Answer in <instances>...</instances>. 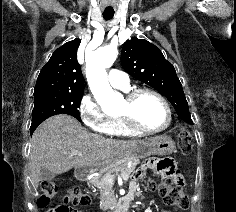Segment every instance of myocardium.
Segmentation results:
<instances>
[{"mask_svg":"<svg viewBox=\"0 0 236 212\" xmlns=\"http://www.w3.org/2000/svg\"><path fill=\"white\" fill-rule=\"evenodd\" d=\"M144 94H150V95L156 97L164 105V107L167 111L168 118H167L166 124L163 127L157 128V129H149V128L143 127L139 123V121L136 117L135 107H136V102H137L138 98ZM124 102H125V107L118 114V116L122 119V121L125 123V125L129 129H131L132 131H134L136 133H139V134L160 133V132L166 130L167 128H169V126L172 123L173 114H172V109L170 107L169 102L161 93H159L158 91H156L154 89L147 88V87L132 88L126 92L125 97H124Z\"/></svg>","mask_w":236,"mask_h":212,"instance_id":"obj_1","label":"myocardium"}]
</instances>
